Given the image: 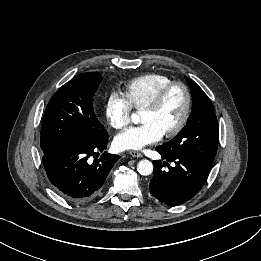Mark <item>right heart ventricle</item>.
<instances>
[{
	"instance_id": "1",
	"label": "right heart ventricle",
	"mask_w": 261,
	"mask_h": 261,
	"mask_svg": "<svg viewBox=\"0 0 261 261\" xmlns=\"http://www.w3.org/2000/svg\"><path fill=\"white\" fill-rule=\"evenodd\" d=\"M172 80L161 74H144L125 85V97L132 107L142 110L154 101L157 94Z\"/></svg>"
}]
</instances>
